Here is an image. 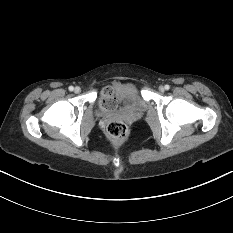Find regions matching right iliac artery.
<instances>
[{
    "mask_svg": "<svg viewBox=\"0 0 233 233\" xmlns=\"http://www.w3.org/2000/svg\"><path fill=\"white\" fill-rule=\"evenodd\" d=\"M69 91H73L74 90V87L73 86H69Z\"/></svg>",
    "mask_w": 233,
    "mask_h": 233,
    "instance_id": "1",
    "label": "right iliac artery"
}]
</instances>
